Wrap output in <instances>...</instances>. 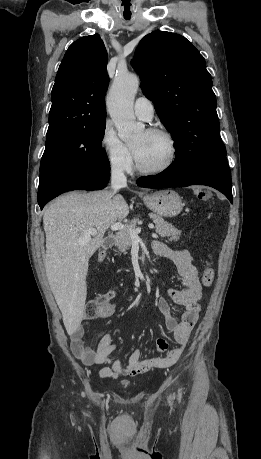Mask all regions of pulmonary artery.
Segmentation results:
<instances>
[{"instance_id":"obj_1","label":"pulmonary artery","mask_w":261,"mask_h":459,"mask_svg":"<svg viewBox=\"0 0 261 459\" xmlns=\"http://www.w3.org/2000/svg\"><path fill=\"white\" fill-rule=\"evenodd\" d=\"M135 115L144 121H150L154 115V106L146 97H138L134 103Z\"/></svg>"}]
</instances>
